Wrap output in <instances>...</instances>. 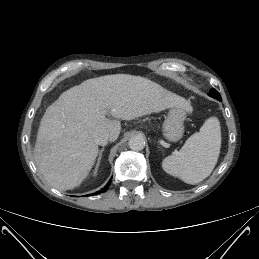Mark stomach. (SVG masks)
<instances>
[{
	"label": "stomach",
	"mask_w": 259,
	"mask_h": 259,
	"mask_svg": "<svg viewBox=\"0 0 259 259\" xmlns=\"http://www.w3.org/2000/svg\"><path fill=\"white\" fill-rule=\"evenodd\" d=\"M185 118L184 109L173 107L169 110L162 126L163 136L169 142H177L183 137Z\"/></svg>",
	"instance_id": "obj_1"
}]
</instances>
